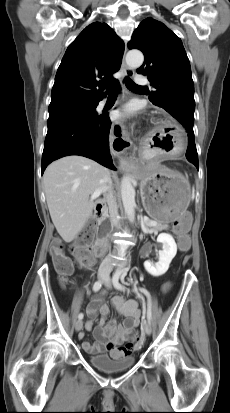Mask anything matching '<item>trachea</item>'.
Segmentation results:
<instances>
[{
	"mask_svg": "<svg viewBox=\"0 0 230 413\" xmlns=\"http://www.w3.org/2000/svg\"><path fill=\"white\" fill-rule=\"evenodd\" d=\"M125 84H126V87H127L128 89H130V90H139V89H143V88H144V87H142V86H138L137 84H135V83L132 81V79L129 78V77H126V78H125ZM115 94H118V88H117V86H114V87L111 89V91H110V95H115Z\"/></svg>",
	"mask_w": 230,
	"mask_h": 413,
	"instance_id": "3493384b",
	"label": "trachea"
}]
</instances>
